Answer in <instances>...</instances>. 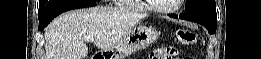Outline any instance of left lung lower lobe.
<instances>
[{
	"label": "left lung lower lobe",
	"mask_w": 261,
	"mask_h": 59,
	"mask_svg": "<svg viewBox=\"0 0 261 59\" xmlns=\"http://www.w3.org/2000/svg\"><path fill=\"white\" fill-rule=\"evenodd\" d=\"M172 17L178 18V15H172ZM179 18L202 24L207 28L209 34H213L216 31V15L203 12H187L180 15Z\"/></svg>",
	"instance_id": "left-lung-lower-lobe-1"
}]
</instances>
